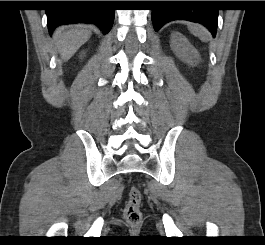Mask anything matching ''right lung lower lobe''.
I'll return each mask as SVG.
<instances>
[{"instance_id":"98d812e1","label":"right lung lower lobe","mask_w":265,"mask_h":245,"mask_svg":"<svg viewBox=\"0 0 265 245\" xmlns=\"http://www.w3.org/2000/svg\"><path fill=\"white\" fill-rule=\"evenodd\" d=\"M64 8L46 10L50 33L59 25L72 23L96 24L107 34L114 21V9L110 1H64Z\"/></svg>"}]
</instances>
